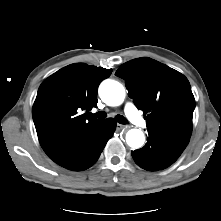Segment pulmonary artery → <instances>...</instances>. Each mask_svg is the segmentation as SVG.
Instances as JSON below:
<instances>
[{
  "mask_svg": "<svg viewBox=\"0 0 221 221\" xmlns=\"http://www.w3.org/2000/svg\"><path fill=\"white\" fill-rule=\"evenodd\" d=\"M125 114L131 120L133 124L139 127L146 126V121L144 118L139 114L136 107L131 103L128 102L125 105Z\"/></svg>",
  "mask_w": 221,
  "mask_h": 221,
  "instance_id": "pulmonary-artery-1",
  "label": "pulmonary artery"
}]
</instances>
